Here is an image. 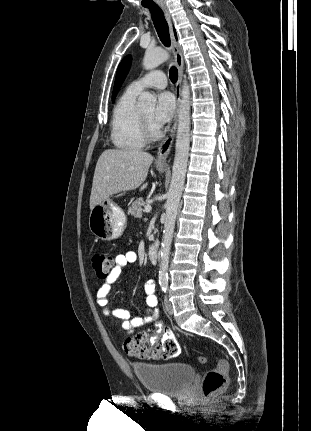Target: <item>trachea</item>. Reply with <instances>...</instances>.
Segmentation results:
<instances>
[{
  "instance_id": "trachea-1",
  "label": "trachea",
  "mask_w": 311,
  "mask_h": 431,
  "mask_svg": "<svg viewBox=\"0 0 311 431\" xmlns=\"http://www.w3.org/2000/svg\"><path fill=\"white\" fill-rule=\"evenodd\" d=\"M150 10L151 17L157 31V34L161 40V42L165 46H170V35H169V27L165 20L164 13L160 7H147ZM169 78L172 83H176L178 80V70L176 67H171L169 70Z\"/></svg>"
}]
</instances>
